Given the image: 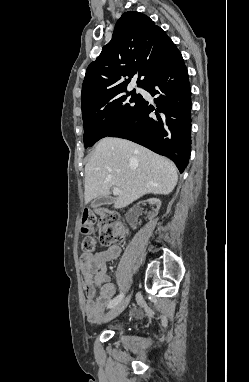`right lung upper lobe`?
Returning <instances> with one entry per match:
<instances>
[{"label":"right lung upper lobe","mask_w":249,"mask_h":382,"mask_svg":"<svg viewBox=\"0 0 249 382\" xmlns=\"http://www.w3.org/2000/svg\"><path fill=\"white\" fill-rule=\"evenodd\" d=\"M180 56L172 40L148 16L125 12L115 25L111 41L86 70L82 108L123 95L137 72L138 86H144L152 74ZM126 76L129 78L125 79Z\"/></svg>","instance_id":"obj_1"}]
</instances>
